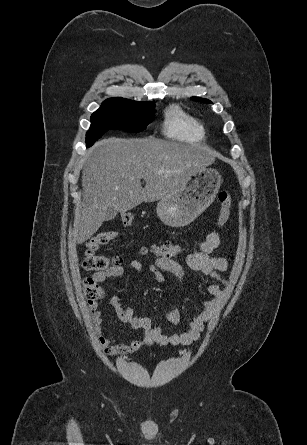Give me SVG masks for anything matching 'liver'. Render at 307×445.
I'll list each match as a JSON object with an SVG mask.
<instances>
[{
	"label": "liver",
	"instance_id": "1",
	"mask_svg": "<svg viewBox=\"0 0 307 445\" xmlns=\"http://www.w3.org/2000/svg\"><path fill=\"white\" fill-rule=\"evenodd\" d=\"M214 160V154L203 146L154 136L98 140L82 170L83 198L74 220L73 241L91 239L112 212L179 194L190 174ZM157 170L165 172L157 174Z\"/></svg>",
	"mask_w": 307,
	"mask_h": 445
}]
</instances>
